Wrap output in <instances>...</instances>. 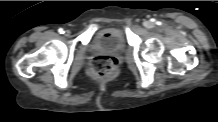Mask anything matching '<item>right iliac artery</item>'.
<instances>
[{
    "label": "right iliac artery",
    "instance_id": "obj_1",
    "mask_svg": "<svg viewBox=\"0 0 218 122\" xmlns=\"http://www.w3.org/2000/svg\"><path fill=\"white\" fill-rule=\"evenodd\" d=\"M58 32H59L60 34H63V33H64V30H63L62 28H59V29H58Z\"/></svg>",
    "mask_w": 218,
    "mask_h": 122
}]
</instances>
